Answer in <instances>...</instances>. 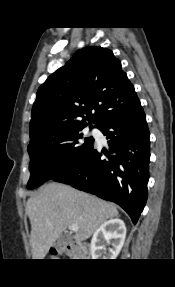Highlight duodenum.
<instances>
[{"label": "duodenum", "mask_w": 175, "mask_h": 287, "mask_svg": "<svg viewBox=\"0 0 175 287\" xmlns=\"http://www.w3.org/2000/svg\"><path fill=\"white\" fill-rule=\"evenodd\" d=\"M72 252L74 255H79V254H81L82 250L80 248H78L77 246H73Z\"/></svg>", "instance_id": "duodenum-1"}]
</instances>
